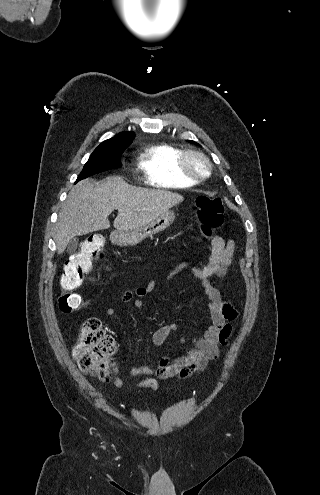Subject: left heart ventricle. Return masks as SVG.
I'll return each mask as SVG.
<instances>
[{"label":"left heart ventricle","mask_w":320,"mask_h":495,"mask_svg":"<svg viewBox=\"0 0 320 495\" xmlns=\"http://www.w3.org/2000/svg\"><path fill=\"white\" fill-rule=\"evenodd\" d=\"M191 164H192V167L195 171H197V172H204L205 171V165L199 159H194Z\"/></svg>","instance_id":"b2bd125f"}]
</instances>
